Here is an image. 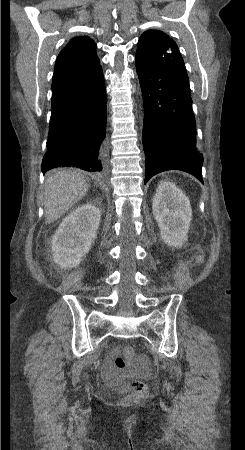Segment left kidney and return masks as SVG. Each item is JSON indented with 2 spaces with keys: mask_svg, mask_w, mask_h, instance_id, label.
Instances as JSON below:
<instances>
[{
  "mask_svg": "<svg viewBox=\"0 0 245 450\" xmlns=\"http://www.w3.org/2000/svg\"><path fill=\"white\" fill-rule=\"evenodd\" d=\"M152 209L162 240L171 247H181L187 240L192 217L187 196L173 183L162 182L156 189Z\"/></svg>",
  "mask_w": 245,
  "mask_h": 450,
  "instance_id": "obj_1",
  "label": "left kidney"
}]
</instances>
